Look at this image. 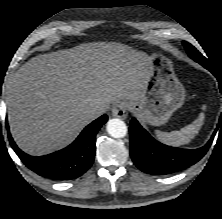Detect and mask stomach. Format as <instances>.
Segmentation results:
<instances>
[{
    "label": "stomach",
    "instance_id": "0dacf381",
    "mask_svg": "<svg viewBox=\"0 0 222 219\" xmlns=\"http://www.w3.org/2000/svg\"><path fill=\"white\" fill-rule=\"evenodd\" d=\"M150 59L151 72L142 95L126 104L127 108L143 122L160 126L183 105L186 94L168 57L153 52Z\"/></svg>",
    "mask_w": 222,
    "mask_h": 219
}]
</instances>
